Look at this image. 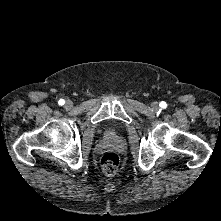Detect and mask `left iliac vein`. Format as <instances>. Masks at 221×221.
Segmentation results:
<instances>
[{
    "label": "left iliac vein",
    "instance_id": "4c4485c4",
    "mask_svg": "<svg viewBox=\"0 0 221 221\" xmlns=\"http://www.w3.org/2000/svg\"><path fill=\"white\" fill-rule=\"evenodd\" d=\"M152 108H153L154 110H158L159 104H158L157 102H154V103L152 104Z\"/></svg>",
    "mask_w": 221,
    "mask_h": 221
}]
</instances>
